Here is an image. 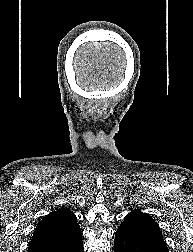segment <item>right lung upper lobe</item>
<instances>
[{
    "mask_svg": "<svg viewBox=\"0 0 193 252\" xmlns=\"http://www.w3.org/2000/svg\"><path fill=\"white\" fill-rule=\"evenodd\" d=\"M81 232L77 218L69 209L56 210L44 217L37 225L28 252L66 241Z\"/></svg>",
    "mask_w": 193,
    "mask_h": 252,
    "instance_id": "cb5924a9",
    "label": "right lung upper lobe"
}]
</instances>
